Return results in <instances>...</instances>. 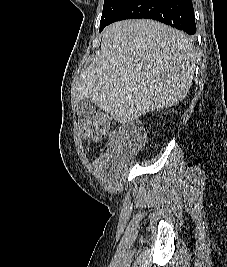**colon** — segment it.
<instances>
[{
    "label": "colon",
    "mask_w": 227,
    "mask_h": 267,
    "mask_svg": "<svg viewBox=\"0 0 227 267\" xmlns=\"http://www.w3.org/2000/svg\"><path fill=\"white\" fill-rule=\"evenodd\" d=\"M110 129V118L104 113H95L84 117L80 124L83 138L98 141L106 137ZM118 138L129 152L142 149L146 141L145 131L135 123H126L121 128Z\"/></svg>",
    "instance_id": "5ec220e1"
}]
</instances>
